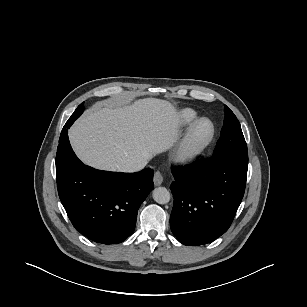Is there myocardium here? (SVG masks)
Wrapping results in <instances>:
<instances>
[{
    "instance_id": "1",
    "label": "myocardium",
    "mask_w": 307,
    "mask_h": 307,
    "mask_svg": "<svg viewBox=\"0 0 307 307\" xmlns=\"http://www.w3.org/2000/svg\"><path fill=\"white\" fill-rule=\"evenodd\" d=\"M207 123L210 126V131L205 139L202 141L196 140V132L198 128ZM216 133L214 123L208 118H200L191 124L177 148L174 158L178 163L186 164L194 161L199 157L212 143Z\"/></svg>"
}]
</instances>
